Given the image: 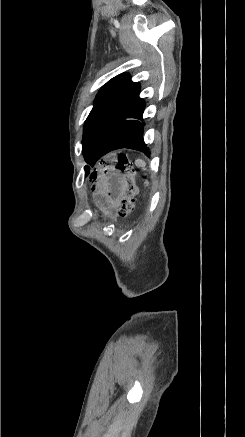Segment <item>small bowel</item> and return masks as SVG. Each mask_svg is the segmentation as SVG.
Segmentation results:
<instances>
[{"label":"small bowel","instance_id":"1","mask_svg":"<svg viewBox=\"0 0 245 437\" xmlns=\"http://www.w3.org/2000/svg\"><path fill=\"white\" fill-rule=\"evenodd\" d=\"M112 162L110 159H101L98 163V166H93L91 171L89 172L90 180H106L109 171L111 170ZM90 189L93 192H96L99 189V186L96 183H93L90 186ZM118 187L116 185H110L107 191L108 197V205L113 207L115 205V196L117 194Z\"/></svg>","mask_w":245,"mask_h":437}]
</instances>
